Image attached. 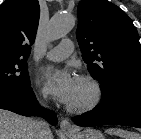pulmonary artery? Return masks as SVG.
Returning a JSON list of instances; mask_svg holds the SVG:
<instances>
[{"label":"pulmonary artery","mask_w":141,"mask_h":139,"mask_svg":"<svg viewBox=\"0 0 141 139\" xmlns=\"http://www.w3.org/2000/svg\"><path fill=\"white\" fill-rule=\"evenodd\" d=\"M74 50L71 40H63L58 46L48 50L45 57L49 60L60 61L68 57Z\"/></svg>","instance_id":"obj_1"}]
</instances>
